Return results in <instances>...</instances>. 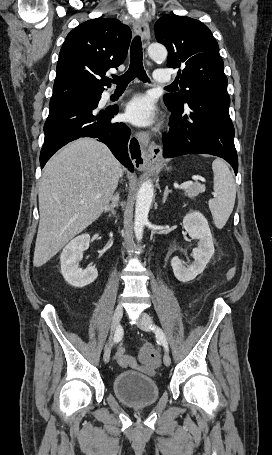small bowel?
I'll return each instance as SVG.
<instances>
[{"instance_id":"obj_1","label":"small bowel","mask_w":272,"mask_h":455,"mask_svg":"<svg viewBox=\"0 0 272 455\" xmlns=\"http://www.w3.org/2000/svg\"><path fill=\"white\" fill-rule=\"evenodd\" d=\"M235 274V269L231 268L227 273V279H232ZM116 362L119 366L124 369L132 368L136 370H140L145 372L149 375L154 374V368L152 365L149 364H139L133 357L124 354V348L120 347L115 355Z\"/></svg>"}]
</instances>
